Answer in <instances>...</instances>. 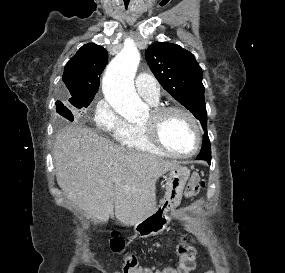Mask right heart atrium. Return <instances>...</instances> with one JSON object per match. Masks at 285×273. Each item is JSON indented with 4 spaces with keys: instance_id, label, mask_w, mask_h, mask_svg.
<instances>
[{
    "instance_id": "obj_1",
    "label": "right heart atrium",
    "mask_w": 285,
    "mask_h": 273,
    "mask_svg": "<svg viewBox=\"0 0 285 273\" xmlns=\"http://www.w3.org/2000/svg\"><path fill=\"white\" fill-rule=\"evenodd\" d=\"M94 123L98 130L117 139L129 127V123L106 99H100L94 109Z\"/></svg>"
}]
</instances>
